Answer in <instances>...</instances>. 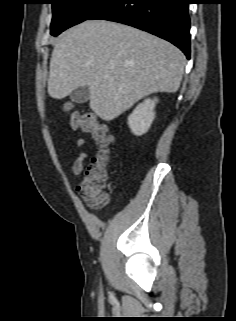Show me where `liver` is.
<instances>
[{"label": "liver", "instance_id": "1", "mask_svg": "<svg viewBox=\"0 0 236 321\" xmlns=\"http://www.w3.org/2000/svg\"><path fill=\"white\" fill-rule=\"evenodd\" d=\"M185 64L180 49L164 39L116 22L87 20L55 44L48 94L63 99L88 86L90 108L110 121L147 95L176 92Z\"/></svg>", "mask_w": 236, "mask_h": 321}]
</instances>
